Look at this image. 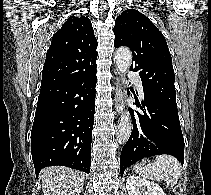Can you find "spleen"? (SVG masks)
Instances as JSON below:
<instances>
[{
    "label": "spleen",
    "instance_id": "3e777b00",
    "mask_svg": "<svg viewBox=\"0 0 211 195\" xmlns=\"http://www.w3.org/2000/svg\"><path fill=\"white\" fill-rule=\"evenodd\" d=\"M133 169L142 177L164 180L171 187L177 184L182 172L180 162L170 155L157 156L155 161H150L147 165H135Z\"/></svg>",
    "mask_w": 211,
    "mask_h": 195
}]
</instances>
